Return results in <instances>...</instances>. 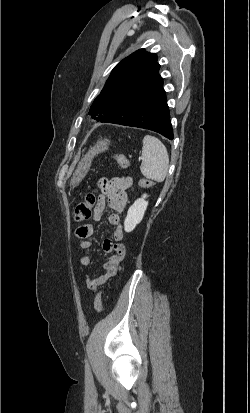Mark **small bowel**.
<instances>
[{"instance_id": "1", "label": "small bowel", "mask_w": 250, "mask_h": 413, "mask_svg": "<svg viewBox=\"0 0 250 413\" xmlns=\"http://www.w3.org/2000/svg\"><path fill=\"white\" fill-rule=\"evenodd\" d=\"M133 180L129 176H115L111 178H102L99 181V187L102 194L94 207L92 218L94 221H100L103 217L106 205L114 211L108 217V222L115 227L112 238L106 239L103 244V250L108 253V257L102 265L105 273L98 277L87 276L86 284L90 291H95L98 287L106 283L110 278L116 276L120 270V264L125 257L126 248L121 243L123 239V228L121 225L120 213L123 212L127 202V191L131 188ZM95 232L93 224H85L78 227L75 231L76 237L79 239V246L82 249L92 247L90 240ZM82 266H90L92 257L84 255L80 258Z\"/></svg>"}]
</instances>
